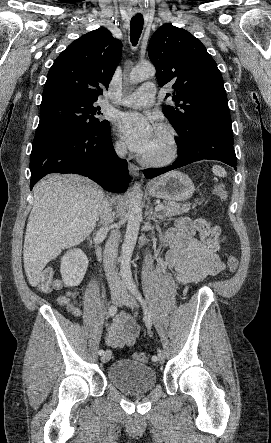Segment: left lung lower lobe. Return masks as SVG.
I'll return each instance as SVG.
<instances>
[{"instance_id": "0a47b994", "label": "left lung lower lobe", "mask_w": 271, "mask_h": 443, "mask_svg": "<svg viewBox=\"0 0 271 443\" xmlns=\"http://www.w3.org/2000/svg\"><path fill=\"white\" fill-rule=\"evenodd\" d=\"M176 138L179 156L168 167L146 169L144 175L151 179L165 172L185 166L199 160H218L236 170L237 159L233 149L231 122L207 117L191 126Z\"/></svg>"}]
</instances>
